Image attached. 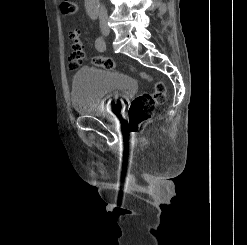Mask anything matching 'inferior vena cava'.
Masks as SVG:
<instances>
[{
	"label": "inferior vena cava",
	"instance_id": "inferior-vena-cava-1",
	"mask_svg": "<svg viewBox=\"0 0 247 245\" xmlns=\"http://www.w3.org/2000/svg\"><path fill=\"white\" fill-rule=\"evenodd\" d=\"M99 19H100V25L102 27H107L108 14L104 5H101L100 7Z\"/></svg>",
	"mask_w": 247,
	"mask_h": 245
}]
</instances>
